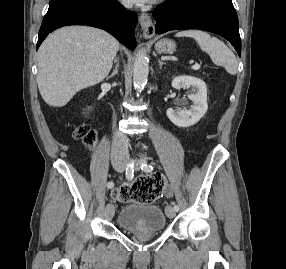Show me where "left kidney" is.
Returning a JSON list of instances; mask_svg holds the SVG:
<instances>
[{"instance_id": "left-kidney-1", "label": "left kidney", "mask_w": 286, "mask_h": 269, "mask_svg": "<svg viewBox=\"0 0 286 269\" xmlns=\"http://www.w3.org/2000/svg\"><path fill=\"white\" fill-rule=\"evenodd\" d=\"M172 87L176 89L192 87V94L188 95V99L192 101L193 105L189 110L169 108L166 111L167 117L178 127H190L196 124L208 109L205 82L196 77L183 75L173 79Z\"/></svg>"}]
</instances>
